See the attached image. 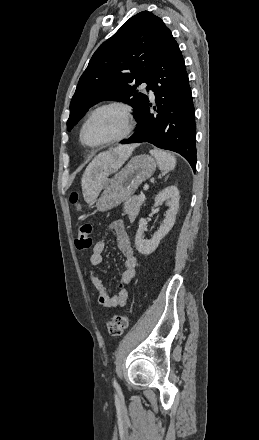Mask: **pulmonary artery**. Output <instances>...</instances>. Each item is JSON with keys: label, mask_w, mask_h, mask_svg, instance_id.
Wrapping results in <instances>:
<instances>
[{"label": "pulmonary artery", "mask_w": 259, "mask_h": 440, "mask_svg": "<svg viewBox=\"0 0 259 440\" xmlns=\"http://www.w3.org/2000/svg\"><path fill=\"white\" fill-rule=\"evenodd\" d=\"M142 88H146V89H148V92H149L150 96H151V97H154V93H153V91L150 89L149 85H148L146 82H144V83L142 84Z\"/></svg>", "instance_id": "e3ab8cb5"}]
</instances>
